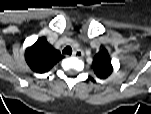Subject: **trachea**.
Instances as JSON below:
<instances>
[{
    "label": "trachea",
    "instance_id": "obj_1",
    "mask_svg": "<svg viewBox=\"0 0 151 114\" xmlns=\"http://www.w3.org/2000/svg\"><path fill=\"white\" fill-rule=\"evenodd\" d=\"M63 53L64 54H72V48L70 46H66L64 49H63Z\"/></svg>",
    "mask_w": 151,
    "mask_h": 114
}]
</instances>
